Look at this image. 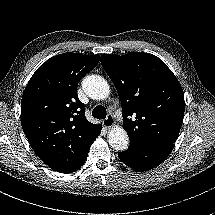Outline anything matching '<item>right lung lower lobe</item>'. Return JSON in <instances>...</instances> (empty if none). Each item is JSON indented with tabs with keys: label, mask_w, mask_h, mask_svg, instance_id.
Returning a JSON list of instances; mask_svg holds the SVG:
<instances>
[{
	"label": "right lung lower lobe",
	"mask_w": 215,
	"mask_h": 215,
	"mask_svg": "<svg viewBox=\"0 0 215 215\" xmlns=\"http://www.w3.org/2000/svg\"><path fill=\"white\" fill-rule=\"evenodd\" d=\"M101 128H102L101 125H97L96 128L92 131V133L90 135V138H89V141L85 145V149H84V152H83V157H82L81 161L76 166H74L72 168H65L64 171H62L60 168H53V167H50V168H52L55 171L64 173V174L71 173V172H74V171L78 170L84 164V162L86 161L90 146L92 145L94 140L97 138V136L100 134Z\"/></svg>",
	"instance_id": "obj_1"
}]
</instances>
